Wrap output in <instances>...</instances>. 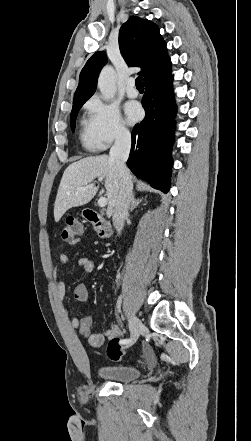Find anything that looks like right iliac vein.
Returning a JSON list of instances; mask_svg holds the SVG:
<instances>
[{
	"instance_id": "obj_1",
	"label": "right iliac vein",
	"mask_w": 251,
	"mask_h": 441,
	"mask_svg": "<svg viewBox=\"0 0 251 441\" xmlns=\"http://www.w3.org/2000/svg\"><path fill=\"white\" fill-rule=\"evenodd\" d=\"M129 328H130V342L127 343L126 347H129L133 345L142 330V323L141 321L133 314L129 315Z\"/></svg>"
}]
</instances>
